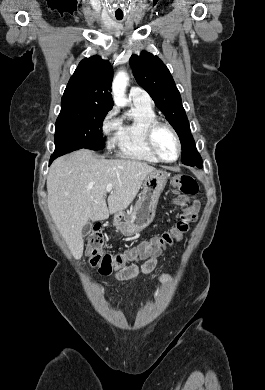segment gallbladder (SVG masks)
<instances>
[{
	"label": "gallbladder",
	"instance_id": "gallbladder-1",
	"mask_svg": "<svg viewBox=\"0 0 265 390\" xmlns=\"http://www.w3.org/2000/svg\"><path fill=\"white\" fill-rule=\"evenodd\" d=\"M91 229H92V222L89 220L83 227L82 229V235L83 236H87L90 234L91 232Z\"/></svg>",
	"mask_w": 265,
	"mask_h": 390
}]
</instances>
